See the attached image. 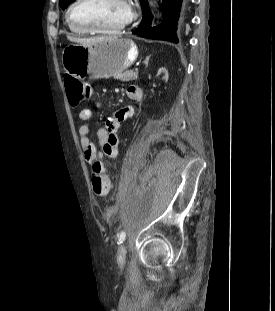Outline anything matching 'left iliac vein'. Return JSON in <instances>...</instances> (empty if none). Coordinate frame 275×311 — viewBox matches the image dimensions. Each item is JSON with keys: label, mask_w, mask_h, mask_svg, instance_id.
Masks as SVG:
<instances>
[{"label": "left iliac vein", "mask_w": 275, "mask_h": 311, "mask_svg": "<svg viewBox=\"0 0 275 311\" xmlns=\"http://www.w3.org/2000/svg\"><path fill=\"white\" fill-rule=\"evenodd\" d=\"M125 259H126V248L124 244H121L117 250L118 264L123 265L125 263Z\"/></svg>", "instance_id": "1"}]
</instances>
